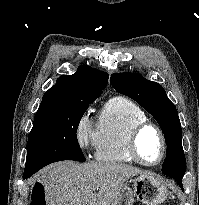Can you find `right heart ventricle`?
I'll return each mask as SVG.
<instances>
[{"label":"right heart ventricle","instance_id":"1","mask_svg":"<svg viewBox=\"0 0 199 205\" xmlns=\"http://www.w3.org/2000/svg\"><path fill=\"white\" fill-rule=\"evenodd\" d=\"M145 121L144 111L130 99L122 96L109 99L96 127V159L113 164L133 163L127 148L128 136L135 125Z\"/></svg>","mask_w":199,"mask_h":205}]
</instances>
